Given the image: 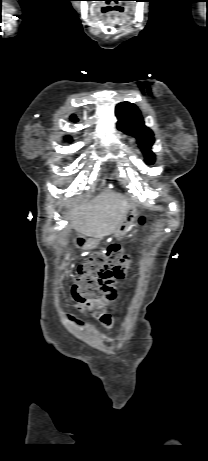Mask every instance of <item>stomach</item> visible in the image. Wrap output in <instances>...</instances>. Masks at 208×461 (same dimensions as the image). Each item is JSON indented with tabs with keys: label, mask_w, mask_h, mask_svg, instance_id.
<instances>
[{
	"label": "stomach",
	"mask_w": 208,
	"mask_h": 461,
	"mask_svg": "<svg viewBox=\"0 0 208 461\" xmlns=\"http://www.w3.org/2000/svg\"><path fill=\"white\" fill-rule=\"evenodd\" d=\"M127 218H128V212L125 216L124 222L121 225V227L113 233L115 237L120 238L129 228V226L132 224L133 219L131 221H128ZM98 244H99L98 240H90L86 243L85 249H88V250L95 249L98 246Z\"/></svg>",
	"instance_id": "stomach-1"
}]
</instances>
